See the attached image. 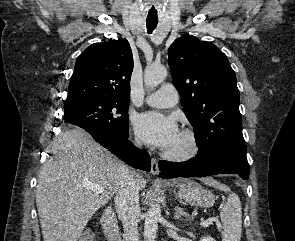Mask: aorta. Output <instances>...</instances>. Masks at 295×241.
Returning <instances> with one entry per match:
<instances>
[{"mask_svg":"<svg viewBox=\"0 0 295 241\" xmlns=\"http://www.w3.org/2000/svg\"><path fill=\"white\" fill-rule=\"evenodd\" d=\"M167 76V69L163 65H151L145 69L144 83L147 87L154 88L159 85ZM161 217L160 204H151L147 211L144 223V234L148 241H154L158 229V222Z\"/></svg>","mask_w":295,"mask_h":241,"instance_id":"762f6f07","label":"aorta"}]
</instances>
